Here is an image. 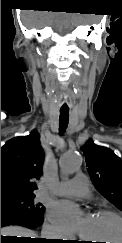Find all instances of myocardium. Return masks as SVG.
Wrapping results in <instances>:
<instances>
[{
  "label": "myocardium",
  "instance_id": "f54148a6",
  "mask_svg": "<svg viewBox=\"0 0 122 243\" xmlns=\"http://www.w3.org/2000/svg\"><path fill=\"white\" fill-rule=\"evenodd\" d=\"M94 215H107V216H112L116 218L122 225V215L117 213L116 211L110 210V209H99L95 211ZM122 243V241H120Z\"/></svg>",
  "mask_w": 122,
  "mask_h": 243
}]
</instances>
